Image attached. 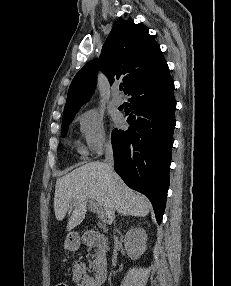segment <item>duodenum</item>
I'll return each instance as SVG.
<instances>
[{"instance_id": "duodenum-1", "label": "duodenum", "mask_w": 231, "mask_h": 286, "mask_svg": "<svg viewBox=\"0 0 231 286\" xmlns=\"http://www.w3.org/2000/svg\"><path fill=\"white\" fill-rule=\"evenodd\" d=\"M94 238V233L93 232H87L82 236V240L84 243H90L92 241V239ZM107 278V269L105 266H99L96 269L95 272V281L97 286L102 285Z\"/></svg>"}]
</instances>
